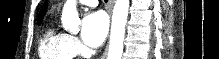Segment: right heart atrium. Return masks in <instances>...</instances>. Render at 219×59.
I'll return each mask as SVG.
<instances>
[{
	"label": "right heart atrium",
	"instance_id": "right-heart-atrium-1",
	"mask_svg": "<svg viewBox=\"0 0 219 59\" xmlns=\"http://www.w3.org/2000/svg\"><path fill=\"white\" fill-rule=\"evenodd\" d=\"M71 45L76 54H79L81 52V45L76 38L71 37Z\"/></svg>",
	"mask_w": 219,
	"mask_h": 59
}]
</instances>
